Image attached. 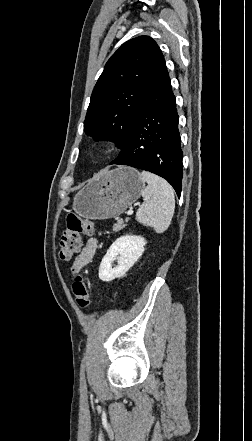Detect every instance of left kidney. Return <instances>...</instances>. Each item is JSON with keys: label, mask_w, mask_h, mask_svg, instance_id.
I'll use <instances>...</instances> for the list:
<instances>
[{"label": "left kidney", "mask_w": 252, "mask_h": 441, "mask_svg": "<svg viewBox=\"0 0 252 441\" xmlns=\"http://www.w3.org/2000/svg\"><path fill=\"white\" fill-rule=\"evenodd\" d=\"M146 240L141 236L125 235L118 238L108 249L99 267V278L110 282L122 277L144 252ZM117 260L118 265L112 268Z\"/></svg>", "instance_id": "obj_1"}]
</instances>
